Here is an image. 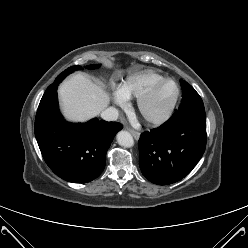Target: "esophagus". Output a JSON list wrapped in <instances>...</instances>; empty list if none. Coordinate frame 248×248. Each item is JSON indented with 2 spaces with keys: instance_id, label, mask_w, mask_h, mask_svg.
Listing matches in <instances>:
<instances>
[{
  "instance_id": "esophagus-1",
  "label": "esophagus",
  "mask_w": 248,
  "mask_h": 248,
  "mask_svg": "<svg viewBox=\"0 0 248 248\" xmlns=\"http://www.w3.org/2000/svg\"><path fill=\"white\" fill-rule=\"evenodd\" d=\"M126 130H128L135 139H138L140 137V134L139 132L135 131V130H132V129H129V128H125Z\"/></svg>"
}]
</instances>
